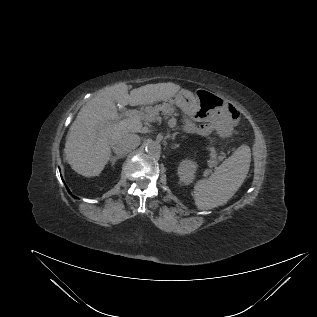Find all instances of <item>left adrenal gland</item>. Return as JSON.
I'll return each mask as SVG.
<instances>
[{"instance_id": "a2214340", "label": "left adrenal gland", "mask_w": 317, "mask_h": 317, "mask_svg": "<svg viewBox=\"0 0 317 317\" xmlns=\"http://www.w3.org/2000/svg\"><path fill=\"white\" fill-rule=\"evenodd\" d=\"M176 135H177V133H174V134L172 135L171 139L174 140Z\"/></svg>"}]
</instances>
